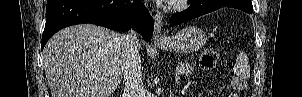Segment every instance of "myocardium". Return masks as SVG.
Wrapping results in <instances>:
<instances>
[{
  "label": "myocardium",
  "mask_w": 302,
  "mask_h": 97,
  "mask_svg": "<svg viewBox=\"0 0 302 97\" xmlns=\"http://www.w3.org/2000/svg\"><path fill=\"white\" fill-rule=\"evenodd\" d=\"M183 2H184V1H180L179 3L174 4L173 8H174V9H180Z\"/></svg>",
  "instance_id": "f54148a6"
}]
</instances>
